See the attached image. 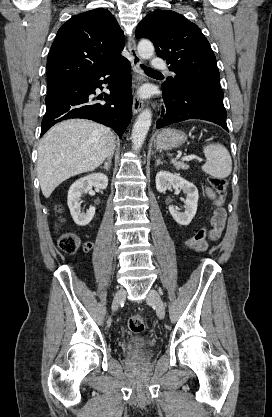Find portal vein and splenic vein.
Here are the masks:
<instances>
[{"label":"portal vein and splenic vein","instance_id":"18ae733b","mask_svg":"<svg viewBox=\"0 0 272 417\" xmlns=\"http://www.w3.org/2000/svg\"><path fill=\"white\" fill-rule=\"evenodd\" d=\"M177 158H179V156H177ZM193 159H198V160H200V158H199V157H197L196 155H187V156H184V157L182 158V160H183V161H189V160H193Z\"/></svg>","mask_w":272,"mask_h":417}]
</instances>
